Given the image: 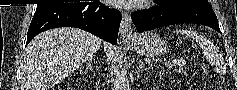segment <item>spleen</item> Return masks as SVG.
I'll return each mask as SVG.
<instances>
[{
  "mask_svg": "<svg viewBox=\"0 0 237 90\" xmlns=\"http://www.w3.org/2000/svg\"><path fill=\"white\" fill-rule=\"evenodd\" d=\"M176 34H182V36H188V38H193L197 44H199L201 50H203V54H208V40H204V38H200L198 34L195 32H189V30H176Z\"/></svg>",
  "mask_w": 237,
  "mask_h": 90,
  "instance_id": "3e777b00",
  "label": "spleen"
}]
</instances>
